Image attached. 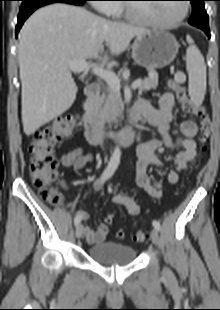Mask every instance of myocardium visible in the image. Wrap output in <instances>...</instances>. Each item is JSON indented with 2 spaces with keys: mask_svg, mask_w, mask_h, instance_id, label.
Returning <instances> with one entry per match:
<instances>
[{
  "mask_svg": "<svg viewBox=\"0 0 220 310\" xmlns=\"http://www.w3.org/2000/svg\"><path fill=\"white\" fill-rule=\"evenodd\" d=\"M123 11L125 16L132 22L154 27V28H160V29H167V28H172L180 24L187 16L188 11H189V5L187 2L182 3V12L180 15L173 20L166 21V22H161V21H156L150 18L138 16L134 9L133 5L131 4H125L123 5Z\"/></svg>",
  "mask_w": 220,
  "mask_h": 310,
  "instance_id": "f54148a6",
  "label": "myocardium"
}]
</instances>
